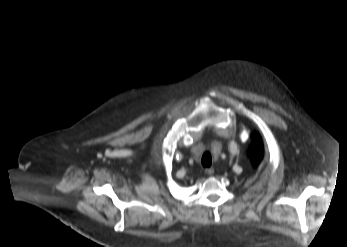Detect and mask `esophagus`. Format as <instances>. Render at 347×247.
Masks as SVG:
<instances>
[{
  "label": "esophagus",
  "instance_id": "34e87169",
  "mask_svg": "<svg viewBox=\"0 0 347 247\" xmlns=\"http://www.w3.org/2000/svg\"><path fill=\"white\" fill-rule=\"evenodd\" d=\"M205 173L209 176L213 175L214 174V168L213 167L206 168Z\"/></svg>",
  "mask_w": 347,
  "mask_h": 247
}]
</instances>
